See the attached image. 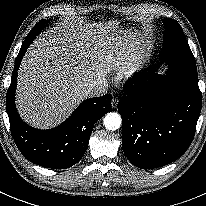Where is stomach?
<instances>
[{
    "label": "stomach",
    "mask_w": 206,
    "mask_h": 206,
    "mask_svg": "<svg viewBox=\"0 0 206 206\" xmlns=\"http://www.w3.org/2000/svg\"><path fill=\"white\" fill-rule=\"evenodd\" d=\"M126 29H127V31H129V32H132V33H134V34H137V31L135 30L134 27H128V28H126Z\"/></svg>",
    "instance_id": "1"
}]
</instances>
